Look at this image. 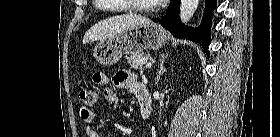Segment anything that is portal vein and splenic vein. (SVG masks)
I'll return each instance as SVG.
<instances>
[{"label": "portal vein and splenic vein", "mask_w": 280, "mask_h": 137, "mask_svg": "<svg viewBox=\"0 0 280 137\" xmlns=\"http://www.w3.org/2000/svg\"><path fill=\"white\" fill-rule=\"evenodd\" d=\"M151 66H152V63H151V62H149V63L146 64V68H150Z\"/></svg>", "instance_id": "1"}]
</instances>
